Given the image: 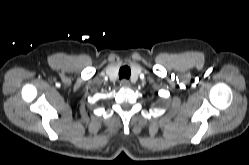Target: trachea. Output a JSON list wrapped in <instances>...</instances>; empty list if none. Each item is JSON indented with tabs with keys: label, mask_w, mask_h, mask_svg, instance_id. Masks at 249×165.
<instances>
[{
	"label": "trachea",
	"mask_w": 249,
	"mask_h": 165,
	"mask_svg": "<svg viewBox=\"0 0 249 165\" xmlns=\"http://www.w3.org/2000/svg\"><path fill=\"white\" fill-rule=\"evenodd\" d=\"M131 75V70L128 66H123L120 68L119 70V78L122 79V78H126V79H129Z\"/></svg>",
	"instance_id": "3493384b"
}]
</instances>
